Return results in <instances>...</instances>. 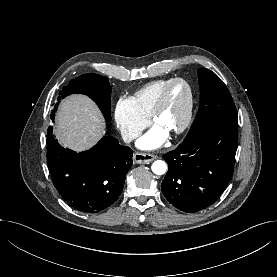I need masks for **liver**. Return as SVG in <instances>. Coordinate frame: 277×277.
Here are the masks:
<instances>
[{"label": "liver", "mask_w": 277, "mask_h": 277, "mask_svg": "<svg viewBox=\"0 0 277 277\" xmlns=\"http://www.w3.org/2000/svg\"><path fill=\"white\" fill-rule=\"evenodd\" d=\"M104 133L105 120L90 98L72 95L61 102L55 135L64 147L85 151L94 146Z\"/></svg>", "instance_id": "6515ba94"}]
</instances>
